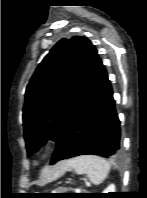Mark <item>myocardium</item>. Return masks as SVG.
Returning <instances> with one entry per match:
<instances>
[{
    "mask_svg": "<svg viewBox=\"0 0 147 198\" xmlns=\"http://www.w3.org/2000/svg\"><path fill=\"white\" fill-rule=\"evenodd\" d=\"M40 150L43 152H47L51 149L52 147V141L51 139H45L40 143Z\"/></svg>",
    "mask_w": 147,
    "mask_h": 198,
    "instance_id": "myocardium-1",
    "label": "myocardium"
}]
</instances>
